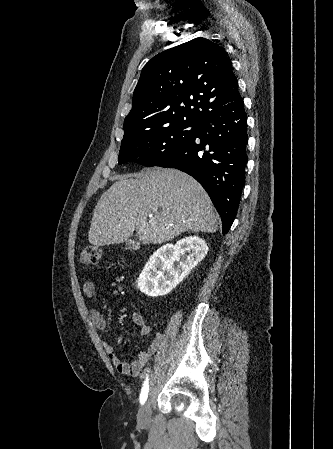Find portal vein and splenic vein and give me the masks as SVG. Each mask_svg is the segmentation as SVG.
Instances as JSON below:
<instances>
[{
    "mask_svg": "<svg viewBox=\"0 0 333 449\" xmlns=\"http://www.w3.org/2000/svg\"><path fill=\"white\" fill-rule=\"evenodd\" d=\"M149 217H150V218H152V217H153V215H152V214H150V215H149Z\"/></svg>",
    "mask_w": 333,
    "mask_h": 449,
    "instance_id": "obj_1",
    "label": "portal vein and splenic vein"
}]
</instances>
